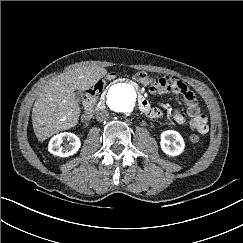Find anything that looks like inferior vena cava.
Listing matches in <instances>:
<instances>
[{"mask_svg":"<svg viewBox=\"0 0 243 243\" xmlns=\"http://www.w3.org/2000/svg\"><path fill=\"white\" fill-rule=\"evenodd\" d=\"M109 118V112L106 109H102L96 112V119L98 121H105Z\"/></svg>","mask_w":243,"mask_h":243,"instance_id":"602c4592","label":"inferior vena cava"}]
</instances>
